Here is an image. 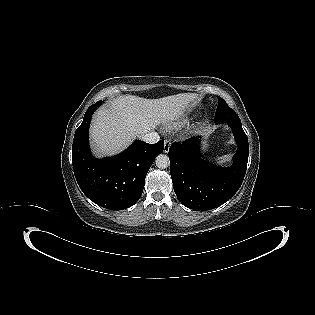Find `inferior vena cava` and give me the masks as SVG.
Masks as SVG:
<instances>
[{"instance_id": "602c4592", "label": "inferior vena cava", "mask_w": 315, "mask_h": 315, "mask_svg": "<svg viewBox=\"0 0 315 315\" xmlns=\"http://www.w3.org/2000/svg\"><path fill=\"white\" fill-rule=\"evenodd\" d=\"M141 139L144 142H147V143H150V144H154V143H157L160 140V137H159L157 132L152 131V132H148V133L143 134Z\"/></svg>"}]
</instances>
